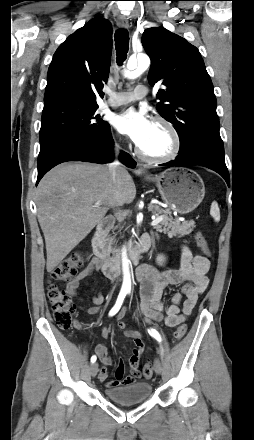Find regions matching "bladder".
<instances>
[{
	"label": "bladder",
	"mask_w": 254,
	"mask_h": 440,
	"mask_svg": "<svg viewBox=\"0 0 254 440\" xmlns=\"http://www.w3.org/2000/svg\"><path fill=\"white\" fill-rule=\"evenodd\" d=\"M152 385L149 382L141 381L122 385L105 390L106 396L114 402L129 404L140 403L152 395Z\"/></svg>",
	"instance_id": "1"
}]
</instances>
